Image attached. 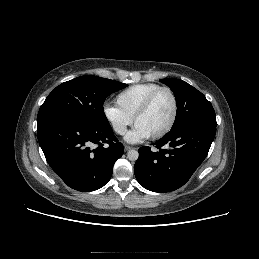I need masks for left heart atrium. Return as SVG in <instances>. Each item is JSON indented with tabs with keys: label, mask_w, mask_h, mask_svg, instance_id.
<instances>
[{
	"label": "left heart atrium",
	"mask_w": 259,
	"mask_h": 259,
	"mask_svg": "<svg viewBox=\"0 0 259 259\" xmlns=\"http://www.w3.org/2000/svg\"><path fill=\"white\" fill-rule=\"evenodd\" d=\"M150 136L140 127L136 126L127 133L125 140L130 143H139Z\"/></svg>",
	"instance_id": "obj_1"
}]
</instances>
